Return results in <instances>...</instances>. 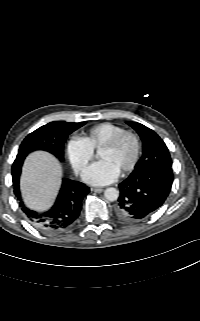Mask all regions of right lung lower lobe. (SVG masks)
<instances>
[{
  "instance_id": "98d812e1",
  "label": "right lung lower lobe",
  "mask_w": 200,
  "mask_h": 321,
  "mask_svg": "<svg viewBox=\"0 0 200 321\" xmlns=\"http://www.w3.org/2000/svg\"><path fill=\"white\" fill-rule=\"evenodd\" d=\"M25 157H17L12 165L14 194L26 217L45 232H60L69 228L78 218L83 198L90 192L89 187L81 182L63 178L62 186L54 205L46 212L39 213L27 208L22 201L19 179Z\"/></svg>"
}]
</instances>
